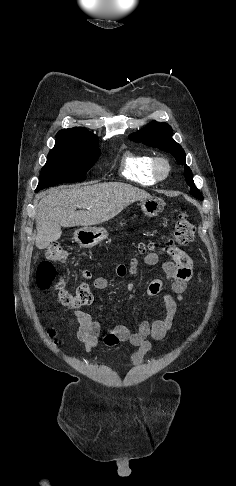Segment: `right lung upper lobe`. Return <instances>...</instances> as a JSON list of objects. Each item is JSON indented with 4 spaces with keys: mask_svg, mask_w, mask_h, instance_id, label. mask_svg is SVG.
<instances>
[{
    "mask_svg": "<svg viewBox=\"0 0 236 486\" xmlns=\"http://www.w3.org/2000/svg\"><path fill=\"white\" fill-rule=\"evenodd\" d=\"M56 138L75 140L89 144L98 143V137L93 133H90L83 127H74L60 130L57 133Z\"/></svg>",
    "mask_w": 236,
    "mask_h": 486,
    "instance_id": "cb5924a9",
    "label": "right lung upper lobe"
}]
</instances>
